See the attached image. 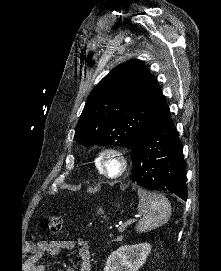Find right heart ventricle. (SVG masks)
<instances>
[{
    "label": "right heart ventricle",
    "mask_w": 221,
    "mask_h": 271,
    "mask_svg": "<svg viewBox=\"0 0 221 271\" xmlns=\"http://www.w3.org/2000/svg\"><path fill=\"white\" fill-rule=\"evenodd\" d=\"M90 161L93 163L95 160L92 158ZM92 165L95 167L97 164L94 162Z\"/></svg>",
    "instance_id": "1"
}]
</instances>
